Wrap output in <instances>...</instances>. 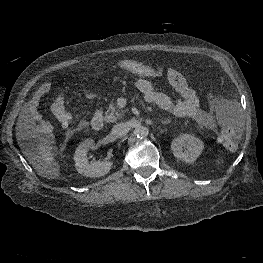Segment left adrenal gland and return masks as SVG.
Instances as JSON below:
<instances>
[{
  "mask_svg": "<svg viewBox=\"0 0 263 263\" xmlns=\"http://www.w3.org/2000/svg\"><path fill=\"white\" fill-rule=\"evenodd\" d=\"M168 123H170V120H164V121H162V124H163V125L168 124Z\"/></svg>",
  "mask_w": 263,
  "mask_h": 263,
  "instance_id": "a2214340",
  "label": "left adrenal gland"
}]
</instances>
